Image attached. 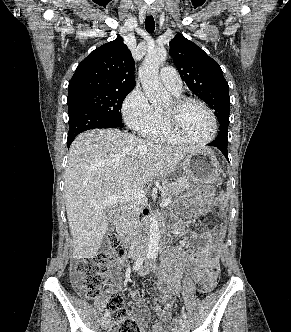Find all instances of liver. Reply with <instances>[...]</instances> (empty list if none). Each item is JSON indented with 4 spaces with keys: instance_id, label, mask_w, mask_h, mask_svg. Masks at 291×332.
<instances>
[{
    "instance_id": "liver-1",
    "label": "liver",
    "mask_w": 291,
    "mask_h": 332,
    "mask_svg": "<svg viewBox=\"0 0 291 332\" xmlns=\"http://www.w3.org/2000/svg\"><path fill=\"white\" fill-rule=\"evenodd\" d=\"M198 149L147 142L119 130H90L76 137L64 176L73 256L97 255L114 213V204L105 205L109 198L169 176L188 153Z\"/></svg>"
}]
</instances>
